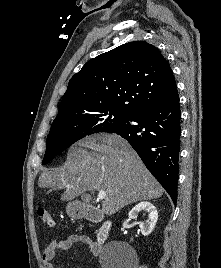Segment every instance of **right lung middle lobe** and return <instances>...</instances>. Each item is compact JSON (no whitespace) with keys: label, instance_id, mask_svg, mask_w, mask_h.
Wrapping results in <instances>:
<instances>
[{"label":"right lung middle lobe","instance_id":"1","mask_svg":"<svg viewBox=\"0 0 221 268\" xmlns=\"http://www.w3.org/2000/svg\"><path fill=\"white\" fill-rule=\"evenodd\" d=\"M130 118L126 114L107 110L56 117L47 137L43 164L86 135L109 132L126 124Z\"/></svg>","mask_w":221,"mask_h":268}]
</instances>
